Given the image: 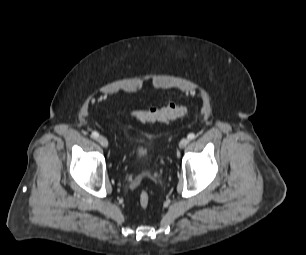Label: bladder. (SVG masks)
<instances>
[{
    "label": "bladder",
    "instance_id": "1",
    "mask_svg": "<svg viewBox=\"0 0 306 255\" xmlns=\"http://www.w3.org/2000/svg\"><path fill=\"white\" fill-rule=\"evenodd\" d=\"M137 160L144 163L149 159V152L146 147H140L136 152Z\"/></svg>",
    "mask_w": 306,
    "mask_h": 255
}]
</instances>
